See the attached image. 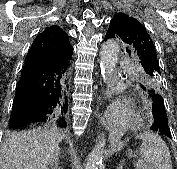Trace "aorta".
<instances>
[{"mask_svg":"<svg viewBox=\"0 0 177 169\" xmlns=\"http://www.w3.org/2000/svg\"><path fill=\"white\" fill-rule=\"evenodd\" d=\"M120 47L117 42H106L100 52V68L103 76H111L114 73L119 58ZM105 147V138L102 137L96 143L93 151L88 155L85 169H98L102 164Z\"/></svg>","mask_w":177,"mask_h":169,"instance_id":"obj_1","label":"aorta"}]
</instances>
